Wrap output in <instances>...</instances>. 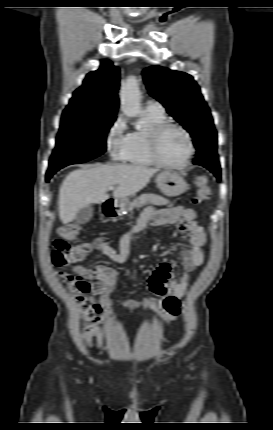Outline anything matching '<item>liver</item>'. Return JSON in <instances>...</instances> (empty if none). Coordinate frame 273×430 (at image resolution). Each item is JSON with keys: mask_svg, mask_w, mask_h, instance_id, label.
I'll list each match as a JSON object with an SVG mask.
<instances>
[{"mask_svg": "<svg viewBox=\"0 0 273 430\" xmlns=\"http://www.w3.org/2000/svg\"><path fill=\"white\" fill-rule=\"evenodd\" d=\"M157 172L141 165H98L76 169L64 179L58 198L59 217L63 224L72 222L78 211L89 204L109 199V187L117 185L114 198L124 199L143 189Z\"/></svg>", "mask_w": 273, "mask_h": 430, "instance_id": "obj_1", "label": "liver"}]
</instances>
